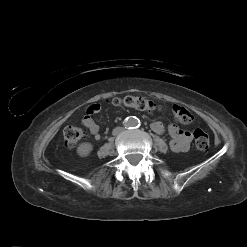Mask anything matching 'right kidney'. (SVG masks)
<instances>
[{
    "instance_id": "1",
    "label": "right kidney",
    "mask_w": 247,
    "mask_h": 247,
    "mask_svg": "<svg viewBox=\"0 0 247 247\" xmlns=\"http://www.w3.org/2000/svg\"><path fill=\"white\" fill-rule=\"evenodd\" d=\"M92 150H93V145L91 143H88V142L81 143L77 147V153L81 157L88 156Z\"/></svg>"
}]
</instances>
